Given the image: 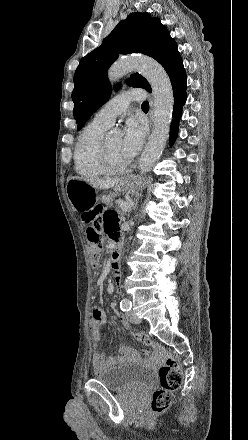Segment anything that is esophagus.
Masks as SVG:
<instances>
[{"label":"esophagus","instance_id":"esophagus-1","mask_svg":"<svg viewBox=\"0 0 248 440\" xmlns=\"http://www.w3.org/2000/svg\"><path fill=\"white\" fill-rule=\"evenodd\" d=\"M152 118H153V115H152V111H151V122H152Z\"/></svg>","mask_w":248,"mask_h":440}]
</instances>
